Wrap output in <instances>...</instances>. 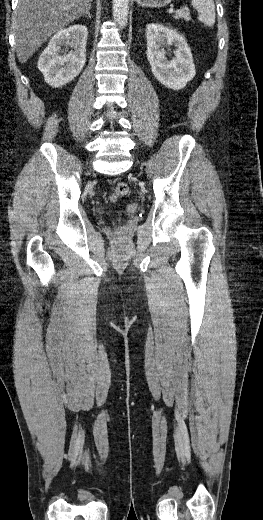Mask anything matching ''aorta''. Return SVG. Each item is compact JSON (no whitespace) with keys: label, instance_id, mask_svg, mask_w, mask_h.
I'll return each mask as SVG.
<instances>
[{"label":"aorta","instance_id":"obj_1","mask_svg":"<svg viewBox=\"0 0 263 520\" xmlns=\"http://www.w3.org/2000/svg\"><path fill=\"white\" fill-rule=\"evenodd\" d=\"M129 0H113V17L116 23L124 27L127 24Z\"/></svg>","mask_w":263,"mask_h":520}]
</instances>
